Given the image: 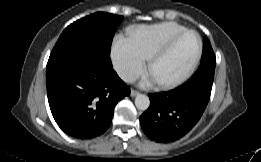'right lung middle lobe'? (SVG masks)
Segmentation results:
<instances>
[{"label": "right lung middle lobe", "mask_w": 261, "mask_h": 162, "mask_svg": "<svg viewBox=\"0 0 261 162\" xmlns=\"http://www.w3.org/2000/svg\"><path fill=\"white\" fill-rule=\"evenodd\" d=\"M122 16L97 12L69 25L59 37L52 52L77 46H94L110 52L116 26Z\"/></svg>", "instance_id": "right-lung-middle-lobe-1"}]
</instances>
